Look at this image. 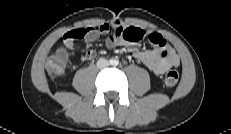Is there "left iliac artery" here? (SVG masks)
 Listing matches in <instances>:
<instances>
[{
    "label": "left iliac artery",
    "instance_id": "left-iliac-artery-1",
    "mask_svg": "<svg viewBox=\"0 0 231 134\" xmlns=\"http://www.w3.org/2000/svg\"><path fill=\"white\" fill-rule=\"evenodd\" d=\"M119 64V62L118 61H115V65H118Z\"/></svg>",
    "mask_w": 231,
    "mask_h": 134
}]
</instances>
